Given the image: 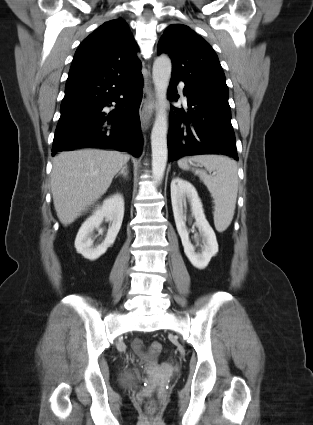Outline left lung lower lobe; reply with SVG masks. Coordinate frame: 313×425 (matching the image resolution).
I'll list each match as a JSON object with an SVG mask.
<instances>
[{"label": "left lung lower lobe", "mask_w": 313, "mask_h": 425, "mask_svg": "<svg viewBox=\"0 0 313 425\" xmlns=\"http://www.w3.org/2000/svg\"><path fill=\"white\" fill-rule=\"evenodd\" d=\"M172 76L168 99L177 101L176 82ZM188 111L173 107L169 116V161L188 155L222 154L238 160L231 124L228 95L196 89L185 83Z\"/></svg>", "instance_id": "obj_1"}]
</instances>
